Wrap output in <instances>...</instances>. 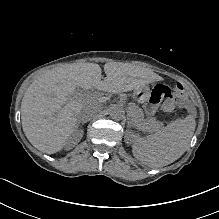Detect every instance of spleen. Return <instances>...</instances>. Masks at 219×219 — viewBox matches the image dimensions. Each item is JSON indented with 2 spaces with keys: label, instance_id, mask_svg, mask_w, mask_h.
Listing matches in <instances>:
<instances>
[{
  "label": "spleen",
  "instance_id": "1",
  "mask_svg": "<svg viewBox=\"0 0 219 219\" xmlns=\"http://www.w3.org/2000/svg\"><path fill=\"white\" fill-rule=\"evenodd\" d=\"M195 126L193 117L178 119L154 135L138 139L133 144L134 156L150 167L171 164L189 147Z\"/></svg>",
  "mask_w": 219,
  "mask_h": 219
}]
</instances>
